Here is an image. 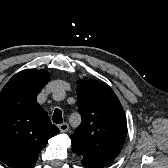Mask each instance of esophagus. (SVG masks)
Masks as SVG:
<instances>
[{"instance_id":"1","label":"esophagus","mask_w":168,"mask_h":168,"mask_svg":"<svg viewBox=\"0 0 168 168\" xmlns=\"http://www.w3.org/2000/svg\"><path fill=\"white\" fill-rule=\"evenodd\" d=\"M61 132H67L69 130V125L67 123H62L58 125Z\"/></svg>"}]
</instances>
